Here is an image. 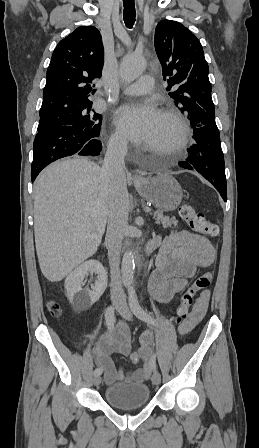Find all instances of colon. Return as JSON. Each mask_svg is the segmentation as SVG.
I'll list each match as a JSON object with an SVG mask.
<instances>
[{"label":"colon","mask_w":259,"mask_h":448,"mask_svg":"<svg viewBox=\"0 0 259 448\" xmlns=\"http://www.w3.org/2000/svg\"><path fill=\"white\" fill-rule=\"evenodd\" d=\"M179 214L189 225L191 230L210 237H214L218 234V227L207 219L202 212L196 210L191 204L183 203L180 205ZM212 279L213 272L207 271L200 275L193 284L181 294L175 314V320L178 324L181 325L189 319L191 307L194 304L196 295L199 292L206 290L210 286ZM47 308L53 316H59L61 314V307L56 301H50ZM140 359L141 357L138 353H132L130 355V360L134 364L138 363Z\"/></svg>","instance_id":"1"}]
</instances>
